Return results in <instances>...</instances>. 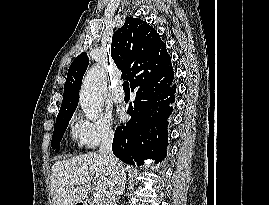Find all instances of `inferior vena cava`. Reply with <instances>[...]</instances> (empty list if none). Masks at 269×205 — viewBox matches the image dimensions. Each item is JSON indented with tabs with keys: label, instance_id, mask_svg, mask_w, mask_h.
<instances>
[{
	"label": "inferior vena cava",
	"instance_id": "obj_1",
	"mask_svg": "<svg viewBox=\"0 0 269 205\" xmlns=\"http://www.w3.org/2000/svg\"><path fill=\"white\" fill-rule=\"evenodd\" d=\"M113 138L114 133L107 130L102 136L99 148V154L105 159L112 177L108 185L105 205H116L117 198L123 194L126 184L125 170L112 151Z\"/></svg>",
	"mask_w": 269,
	"mask_h": 205
}]
</instances>
